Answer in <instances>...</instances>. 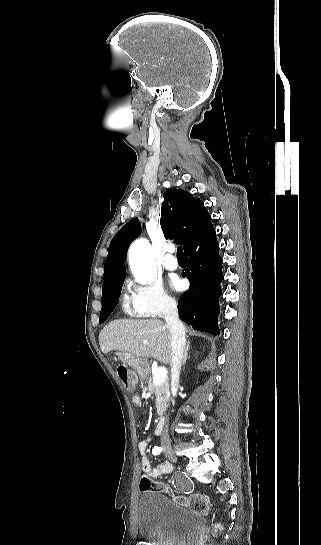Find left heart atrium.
Instances as JSON below:
<instances>
[{
	"instance_id": "obj_1",
	"label": "left heart atrium",
	"mask_w": 321,
	"mask_h": 545,
	"mask_svg": "<svg viewBox=\"0 0 321 545\" xmlns=\"http://www.w3.org/2000/svg\"><path fill=\"white\" fill-rule=\"evenodd\" d=\"M169 285H170L171 288H173L175 290H180L182 288L181 281L176 277H173V278L170 279Z\"/></svg>"
}]
</instances>
